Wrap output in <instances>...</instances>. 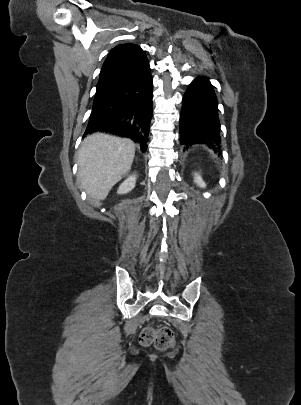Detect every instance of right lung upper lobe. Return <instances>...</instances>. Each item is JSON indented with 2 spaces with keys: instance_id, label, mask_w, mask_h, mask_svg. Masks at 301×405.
<instances>
[{
  "instance_id": "cb5924a9",
  "label": "right lung upper lobe",
  "mask_w": 301,
  "mask_h": 405,
  "mask_svg": "<svg viewBox=\"0 0 301 405\" xmlns=\"http://www.w3.org/2000/svg\"><path fill=\"white\" fill-rule=\"evenodd\" d=\"M145 59L146 55L138 45L120 44L113 48L101 69L96 95L103 96L117 86Z\"/></svg>"
}]
</instances>
